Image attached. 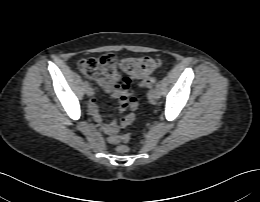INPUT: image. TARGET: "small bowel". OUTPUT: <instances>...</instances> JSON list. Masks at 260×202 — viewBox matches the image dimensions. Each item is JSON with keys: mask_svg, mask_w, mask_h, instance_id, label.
<instances>
[{"mask_svg": "<svg viewBox=\"0 0 260 202\" xmlns=\"http://www.w3.org/2000/svg\"><path fill=\"white\" fill-rule=\"evenodd\" d=\"M103 90L109 93L112 97L118 99L120 112L127 113L119 120L110 123H104L98 111L95 99L89 102V112L94 121L98 123L101 129L108 135V141L111 144L118 143V133L121 129L129 126L135 119L134 111L138 107L137 99L130 94V81L123 80L119 83V78L116 77L108 83H100Z\"/></svg>", "mask_w": 260, "mask_h": 202, "instance_id": "c3829d8e", "label": "small bowel"}]
</instances>
